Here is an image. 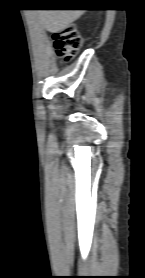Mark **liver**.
<instances>
[{"mask_svg": "<svg viewBox=\"0 0 145 278\" xmlns=\"http://www.w3.org/2000/svg\"><path fill=\"white\" fill-rule=\"evenodd\" d=\"M84 10H38L39 24L48 32L57 33L66 29L83 15Z\"/></svg>", "mask_w": 145, "mask_h": 278, "instance_id": "6515ba94", "label": "liver"}]
</instances>
